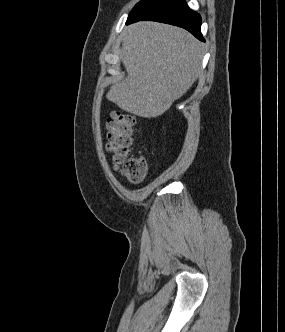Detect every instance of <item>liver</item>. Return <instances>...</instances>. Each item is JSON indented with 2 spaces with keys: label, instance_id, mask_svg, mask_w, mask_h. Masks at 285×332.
Returning <instances> with one entry per match:
<instances>
[{
  "label": "liver",
  "instance_id": "obj_1",
  "mask_svg": "<svg viewBox=\"0 0 285 332\" xmlns=\"http://www.w3.org/2000/svg\"><path fill=\"white\" fill-rule=\"evenodd\" d=\"M204 48L186 30L157 22H138L123 31L126 78L106 98L122 110L156 118L193 85L201 71Z\"/></svg>",
  "mask_w": 285,
  "mask_h": 332
}]
</instances>
